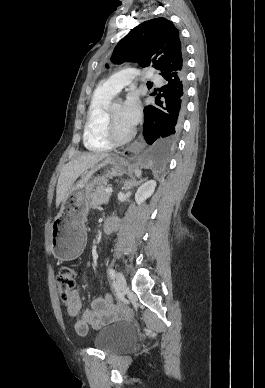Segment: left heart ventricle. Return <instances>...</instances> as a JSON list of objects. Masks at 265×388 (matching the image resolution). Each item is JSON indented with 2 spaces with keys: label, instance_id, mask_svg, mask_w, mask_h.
<instances>
[{
  "label": "left heart ventricle",
  "instance_id": "b2bd125f",
  "mask_svg": "<svg viewBox=\"0 0 265 388\" xmlns=\"http://www.w3.org/2000/svg\"><path fill=\"white\" fill-rule=\"evenodd\" d=\"M111 119L115 128L120 132H125L130 129V126L125 124L122 120V107L121 105L110 106Z\"/></svg>",
  "mask_w": 265,
  "mask_h": 388
}]
</instances>
